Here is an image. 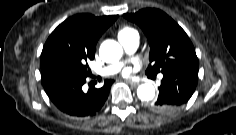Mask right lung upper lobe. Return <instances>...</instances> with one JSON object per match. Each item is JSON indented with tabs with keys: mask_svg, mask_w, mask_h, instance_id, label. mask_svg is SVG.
<instances>
[{
	"mask_svg": "<svg viewBox=\"0 0 236 135\" xmlns=\"http://www.w3.org/2000/svg\"><path fill=\"white\" fill-rule=\"evenodd\" d=\"M117 18L118 15L101 17L91 14L74 15L61 23L46 42L63 39L86 49L95 50L99 37Z\"/></svg>",
	"mask_w": 236,
	"mask_h": 135,
	"instance_id": "right-lung-upper-lobe-1",
	"label": "right lung upper lobe"
}]
</instances>
